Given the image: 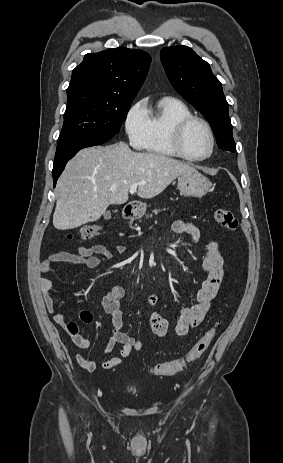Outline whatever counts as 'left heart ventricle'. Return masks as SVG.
<instances>
[{
    "instance_id": "b2bd125f",
    "label": "left heart ventricle",
    "mask_w": 283,
    "mask_h": 463,
    "mask_svg": "<svg viewBox=\"0 0 283 463\" xmlns=\"http://www.w3.org/2000/svg\"><path fill=\"white\" fill-rule=\"evenodd\" d=\"M210 137L205 127L200 123H193L184 135L185 151L193 157H202L210 150Z\"/></svg>"
}]
</instances>
